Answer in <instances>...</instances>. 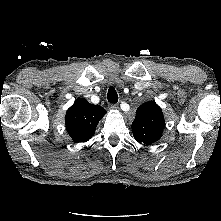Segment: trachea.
Listing matches in <instances>:
<instances>
[{
	"label": "trachea",
	"mask_w": 221,
	"mask_h": 221,
	"mask_svg": "<svg viewBox=\"0 0 221 221\" xmlns=\"http://www.w3.org/2000/svg\"><path fill=\"white\" fill-rule=\"evenodd\" d=\"M107 98H108V101L110 103H117L118 102V94L115 90V88L113 86H111L109 89H108V94H107Z\"/></svg>",
	"instance_id": "1"
}]
</instances>
